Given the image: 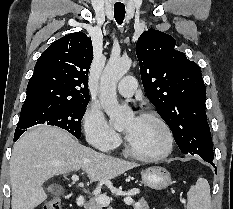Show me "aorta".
I'll return each instance as SVG.
<instances>
[{
    "instance_id": "obj_1",
    "label": "aorta",
    "mask_w": 233,
    "mask_h": 209,
    "mask_svg": "<svg viewBox=\"0 0 233 209\" xmlns=\"http://www.w3.org/2000/svg\"><path fill=\"white\" fill-rule=\"evenodd\" d=\"M131 63L128 58L110 59L100 79L99 99L117 130L123 129L132 116L129 107L119 104L116 93L117 84L128 72Z\"/></svg>"
}]
</instances>
